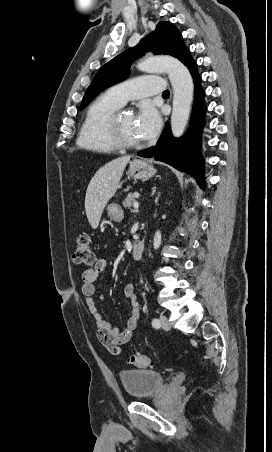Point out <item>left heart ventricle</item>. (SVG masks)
<instances>
[{
  "instance_id": "b2bd125f",
  "label": "left heart ventricle",
  "mask_w": 272,
  "mask_h": 452,
  "mask_svg": "<svg viewBox=\"0 0 272 452\" xmlns=\"http://www.w3.org/2000/svg\"><path fill=\"white\" fill-rule=\"evenodd\" d=\"M120 127L123 136L130 141H140L138 135L137 124L135 117L130 114L123 113L119 119Z\"/></svg>"
}]
</instances>
